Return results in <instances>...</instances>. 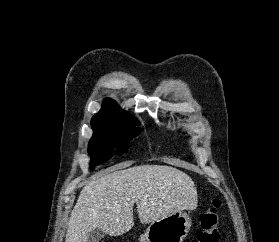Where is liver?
I'll use <instances>...</instances> for the list:
<instances>
[{
    "instance_id": "obj_1",
    "label": "liver",
    "mask_w": 279,
    "mask_h": 242,
    "mask_svg": "<svg viewBox=\"0 0 279 242\" xmlns=\"http://www.w3.org/2000/svg\"><path fill=\"white\" fill-rule=\"evenodd\" d=\"M130 165L101 171L85 185L71 212L65 242H88L94 229L110 236L124 234L134 225V204L143 224L196 209L197 190L186 173L171 166Z\"/></svg>"
}]
</instances>
